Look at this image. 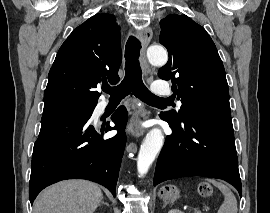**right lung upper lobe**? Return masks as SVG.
<instances>
[{"label":"right lung upper lobe","mask_w":270,"mask_h":213,"mask_svg":"<svg viewBox=\"0 0 270 213\" xmlns=\"http://www.w3.org/2000/svg\"><path fill=\"white\" fill-rule=\"evenodd\" d=\"M114 21L109 14H96L72 31L49 71L44 107L64 101L97 104V85L119 81L122 52Z\"/></svg>","instance_id":"right-lung-upper-lobe-1"}]
</instances>
